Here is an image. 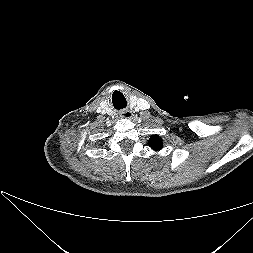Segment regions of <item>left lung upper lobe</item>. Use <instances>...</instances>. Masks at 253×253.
<instances>
[{"instance_id": "obj_1", "label": "left lung upper lobe", "mask_w": 253, "mask_h": 253, "mask_svg": "<svg viewBox=\"0 0 253 253\" xmlns=\"http://www.w3.org/2000/svg\"><path fill=\"white\" fill-rule=\"evenodd\" d=\"M149 146L153 149V150H160L163 146L161 139L159 138L158 135H153L151 136L150 140L148 141Z\"/></svg>"}]
</instances>
